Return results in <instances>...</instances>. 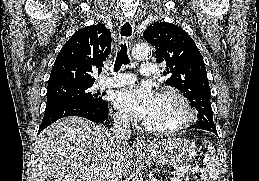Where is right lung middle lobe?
Returning a JSON list of instances; mask_svg holds the SVG:
<instances>
[{
	"label": "right lung middle lobe",
	"mask_w": 259,
	"mask_h": 181,
	"mask_svg": "<svg viewBox=\"0 0 259 181\" xmlns=\"http://www.w3.org/2000/svg\"><path fill=\"white\" fill-rule=\"evenodd\" d=\"M92 85L61 83L48 86L45 110L64 102H86L93 105L104 103L105 101L102 97H99L100 93H93L91 91Z\"/></svg>",
	"instance_id": "obj_1"
}]
</instances>
